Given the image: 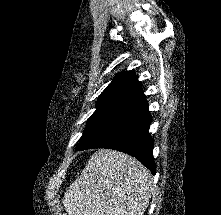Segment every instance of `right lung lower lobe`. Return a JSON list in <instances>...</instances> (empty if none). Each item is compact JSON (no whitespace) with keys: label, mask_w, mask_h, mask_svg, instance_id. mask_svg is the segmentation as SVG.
I'll return each instance as SVG.
<instances>
[{"label":"right lung lower lobe","mask_w":221,"mask_h":215,"mask_svg":"<svg viewBox=\"0 0 221 215\" xmlns=\"http://www.w3.org/2000/svg\"><path fill=\"white\" fill-rule=\"evenodd\" d=\"M151 116L148 105L138 109L118 121L105 133L79 149L109 148L125 152L137 158L155 174L153 160V138L148 133Z\"/></svg>","instance_id":"obj_1"}]
</instances>
